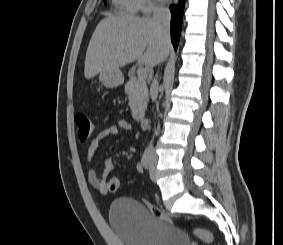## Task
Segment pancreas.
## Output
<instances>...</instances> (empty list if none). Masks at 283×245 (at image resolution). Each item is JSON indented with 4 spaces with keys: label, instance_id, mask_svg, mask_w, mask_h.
<instances>
[{
    "label": "pancreas",
    "instance_id": "cf45deb5",
    "mask_svg": "<svg viewBox=\"0 0 283 245\" xmlns=\"http://www.w3.org/2000/svg\"><path fill=\"white\" fill-rule=\"evenodd\" d=\"M125 92L129 98V106L135 120L143 118L148 103V88L145 78L131 75L130 80L125 85Z\"/></svg>",
    "mask_w": 283,
    "mask_h": 245
}]
</instances>
